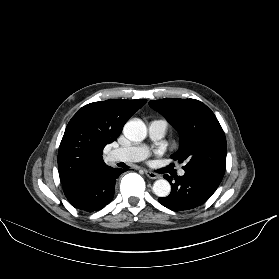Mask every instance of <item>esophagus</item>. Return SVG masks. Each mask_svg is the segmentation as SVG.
<instances>
[{
  "instance_id": "34e87169",
  "label": "esophagus",
  "mask_w": 279,
  "mask_h": 279,
  "mask_svg": "<svg viewBox=\"0 0 279 279\" xmlns=\"http://www.w3.org/2000/svg\"><path fill=\"white\" fill-rule=\"evenodd\" d=\"M145 174L147 175V177H149L151 179H159L161 177L159 174L151 172V171H146Z\"/></svg>"
}]
</instances>
